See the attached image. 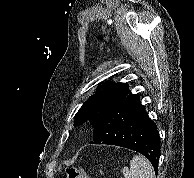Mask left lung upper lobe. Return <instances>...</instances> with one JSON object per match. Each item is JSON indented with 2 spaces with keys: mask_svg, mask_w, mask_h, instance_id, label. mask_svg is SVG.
<instances>
[{
  "mask_svg": "<svg viewBox=\"0 0 194 178\" xmlns=\"http://www.w3.org/2000/svg\"><path fill=\"white\" fill-rule=\"evenodd\" d=\"M99 89L80 108L75 115L74 126L86 121L95 127L98 122L114 109L122 100L133 96L125 83L103 82Z\"/></svg>",
  "mask_w": 194,
  "mask_h": 178,
  "instance_id": "1",
  "label": "left lung upper lobe"
}]
</instances>
